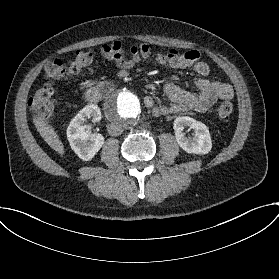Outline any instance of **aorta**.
Wrapping results in <instances>:
<instances>
[{
    "mask_svg": "<svg viewBox=\"0 0 279 279\" xmlns=\"http://www.w3.org/2000/svg\"><path fill=\"white\" fill-rule=\"evenodd\" d=\"M106 118L114 124L127 127L133 125L141 112L139 98L131 91L119 89L112 91L104 103Z\"/></svg>",
    "mask_w": 279,
    "mask_h": 279,
    "instance_id": "aorta-1",
    "label": "aorta"
}]
</instances>
